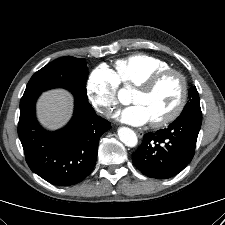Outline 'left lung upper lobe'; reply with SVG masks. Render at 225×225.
<instances>
[{"label": "left lung upper lobe", "instance_id": "left-lung-upper-lobe-1", "mask_svg": "<svg viewBox=\"0 0 225 225\" xmlns=\"http://www.w3.org/2000/svg\"><path fill=\"white\" fill-rule=\"evenodd\" d=\"M189 100L187 105L184 107L180 116L189 113L191 111H201L200 102H199V94L195 86H192L189 91Z\"/></svg>", "mask_w": 225, "mask_h": 225}]
</instances>
